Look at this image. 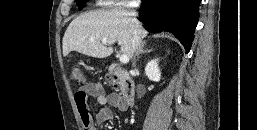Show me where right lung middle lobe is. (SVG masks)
Wrapping results in <instances>:
<instances>
[{"label": "right lung middle lobe", "instance_id": "dd1d6c3e", "mask_svg": "<svg viewBox=\"0 0 257 130\" xmlns=\"http://www.w3.org/2000/svg\"><path fill=\"white\" fill-rule=\"evenodd\" d=\"M87 0H76L77 6L82 8Z\"/></svg>", "mask_w": 257, "mask_h": 130}]
</instances>
